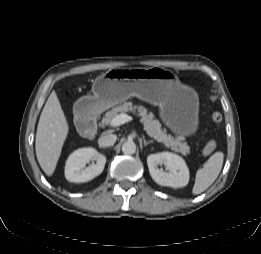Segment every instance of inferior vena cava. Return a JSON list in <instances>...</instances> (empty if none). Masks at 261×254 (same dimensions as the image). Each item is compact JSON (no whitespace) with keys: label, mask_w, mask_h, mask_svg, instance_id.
<instances>
[{"label":"inferior vena cava","mask_w":261,"mask_h":254,"mask_svg":"<svg viewBox=\"0 0 261 254\" xmlns=\"http://www.w3.org/2000/svg\"><path fill=\"white\" fill-rule=\"evenodd\" d=\"M117 140V136L114 134H104L98 139V144L100 147H109L114 145Z\"/></svg>","instance_id":"obj_1"}]
</instances>
